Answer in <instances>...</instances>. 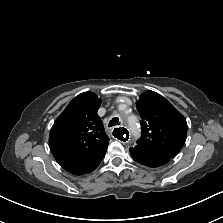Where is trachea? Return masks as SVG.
I'll return each mask as SVG.
<instances>
[{
    "label": "trachea",
    "instance_id": "3493384b",
    "mask_svg": "<svg viewBox=\"0 0 223 223\" xmlns=\"http://www.w3.org/2000/svg\"><path fill=\"white\" fill-rule=\"evenodd\" d=\"M115 125H120L118 117H114L108 124L109 127H112V126H115Z\"/></svg>",
    "mask_w": 223,
    "mask_h": 223
}]
</instances>
